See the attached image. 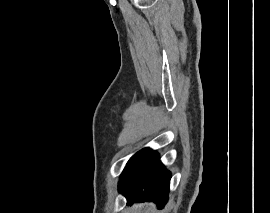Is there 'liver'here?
<instances>
[{
	"label": "liver",
	"mask_w": 270,
	"mask_h": 213,
	"mask_svg": "<svg viewBox=\"0 0 270 213\" xmlns=\"http://www.w3.org/2000/svg\"><path fill=\"white\" fill-rule=\"evenodd\" d=\"M148 213H156L155 212V206L154 205H150L148 208Z\"/></svg>",
	"instance_id": "liver-1"
}]
</instances>
